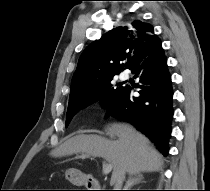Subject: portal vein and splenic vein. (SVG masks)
<instances>
[{"label":"portal vein and splenic vein","instance_id":"obj_1","mask_svg":"<svg viewBox=\"0 0 210 191\" xmlns=\"http://www.w3.org/2000/svg\"><path fill=\"white\" fill-rule=\"evenodd\" d=\"M82 157L85 158V157H87V155L83 154ZM112 168H113V165L110 162L109 163L104 162L103 169H102L103 174H105V175L109 174L112 171Z\"/></svg>","mask_w":210,"mask_h":191}]
</instances>
